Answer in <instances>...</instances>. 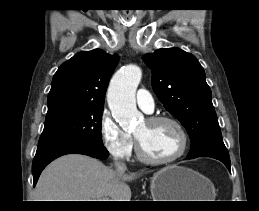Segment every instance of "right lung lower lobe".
<instances>
[{"label":"right lung lower lobe","instance_id":"98d812e1","mask_svg":"<svg viewBox=\"0 0 259 211\" xmlns=\"http://www.w3.org/2000/svg\"><path fill=\"white\" fill-rule=\"evenodd\" d=\"M78 153L91 157L106 159L108 151L103 145H95L79 140H57L38 144L36 155L32 163L34 186L42 170L54 159L65 154Z\"/></svg>","mask_w":259,"mask_h":211}]
</instances>
